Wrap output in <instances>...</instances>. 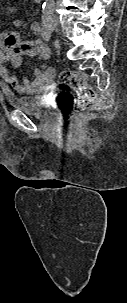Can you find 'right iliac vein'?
<instances>
[{
  "mask_svg": "<svg viewBox=\"0 0 127 303\" xmlns=\"http://www.w3.org/2000/svg\"><path fill=\"white\" fill-rule=\"evenodd\" d=\"M50 27H51L52 29H55V28L57 27V24L54 23L53 21H51V22H50Z\"/></svg>",
  "mask_w": 127,
  "mask_h": 303,
  "instance_id": "right-iliac-vein-1",
  "label": "right iliac vein"
}]
</instances>
